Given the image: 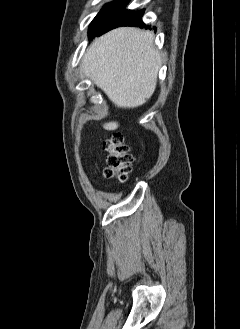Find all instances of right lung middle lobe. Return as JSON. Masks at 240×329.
<instances>
[{
    "label": "right lung middle lobe",
    "instance_id": "obj_1",
    "mask_svg": "<svg viewBox=\"0 0 240 329\" xmlns=\"http://www.w3.org/2000/svg\"><path fill=\"white\" fill-rule=\"evenodd\" d=\"M120 1H114L109 4H107L94 18V20L91 22L89 26V35L90 37L93 36L95 31L98 29V27L101 25L103 20L106 18V16L120 3Z\"/></svg>",
    "mask_w": 240,
    "mask_h": 329
}]
</instances>
